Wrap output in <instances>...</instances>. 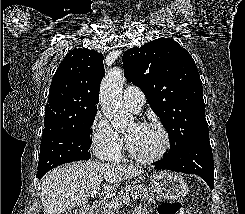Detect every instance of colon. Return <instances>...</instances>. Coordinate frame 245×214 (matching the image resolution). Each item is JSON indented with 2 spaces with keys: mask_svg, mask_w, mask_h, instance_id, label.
<instances>
[{
  "mask_svg": "<svg viewBox=\"0 0 245 214\" xmlns=\"http://www.w3.org/2000/svg\"><path fill=\"white\" fill-rule=\"evenodd\" d=\"M159 214H192L189 211L181 209V204L178 201H165L159 205Z\"/></svg>",
  "mask_w": 245,
  "mask_h": 214,
  "instance_id": "1",
  "label": "colon"
}]
</instances>
